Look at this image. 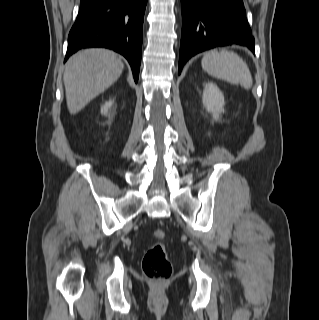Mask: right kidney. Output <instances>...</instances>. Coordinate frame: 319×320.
I'll use <instances>...</instances> for the list:
<instances>
[{
  "label": "right kidney",
  "instance_id": "ca27d5eb",
  "mask_svg": "<svg viewBox=\"0 0 319 320\" xmlns=\"http://www.w3.org/2000/svg\"><path fill=\"white\" fill-rule=\"evenodd\" d=\"M113 102L112 101H108L106 102L103 107L101 108V113L104 114V115H107L108 113V109L111 108Z\"/></svg>",
  "mask_w": 319,
  "mask_h": 320
}]
</instances>
